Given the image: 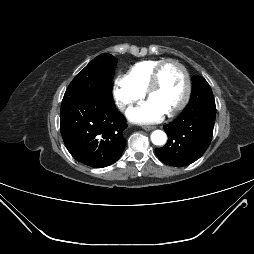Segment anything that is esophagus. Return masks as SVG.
Instances as JSON below:
<instances>
[{
	"label": "esophagus",
	"instance_id": "esophagus-1",
	"mask_svg": "<svg viewBox=\"0 0 254 254\" xmlns=\"http://www.w3.org/2000/svg\"><path fill=\"white\" fill-rule=\"evenodd\" d=\"M143 129L146 130V131H151V130L155 129V127H153V126H143Z\"/></svg>",
	"mask_w": 254,
	"mask_h": 254
}]
</instances>
